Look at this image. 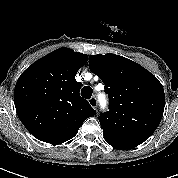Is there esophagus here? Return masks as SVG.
<instances>
[{
    "instance_id": "esophagus-1",
    "label": "esophagus",
    "mask_w": 178,
    "mask_h": 178,
    "mask_svg": "<svg viewBox=\"0 0 178 178\" xmlns=\"http://www.w3.org/2000/svg\"><path fill=\"white\" fill-rule=\"evenodd\" d=\"M89 104H90L94 109H97L98 102H97L96 97H91V98L89 99Z\"/></svg>"
}]
</instances>
